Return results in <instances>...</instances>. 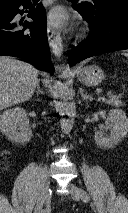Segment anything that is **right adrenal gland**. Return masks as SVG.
Masks as SVG:
<instances>
[{
  "label": "right adrenal gland",
  "mask_w": 128,
  "mask_h": 213,
  "mask_svg": "<svg viewBox=\"0 0 128 213\" xmlns=\"http://www.w3.org/2000/svg\"><path fill=\"white\" fill-rule=\"evenodd\" d=\"M39 94H43V91L40 89V85H39V83H38V84H37L36 95H39Z\"/></svg>",
  "instance_id": "right-adrenal-gland-1"
}]
</instances>
